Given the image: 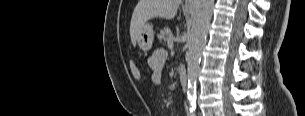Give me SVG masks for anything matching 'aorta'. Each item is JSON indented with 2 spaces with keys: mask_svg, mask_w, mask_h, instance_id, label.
Segmentation results:
<instances>
[{
  "mask_svg": "<svg viewBox=\"0 0 305 116\" xmlns=\"http://www.w3.org/2000/svg\"><path fill=\"white\" fill-rule=\"evenodd\" d=\"M213 8L214 0H198L193 17L187 53V98L191 111L195 109L197 74Z\"/></svg>",
  "mask_w": 305,
  "mask_h": 116,
  "instance_id": "aorta-1",
  "label": "aorta"
}]
</instances>
